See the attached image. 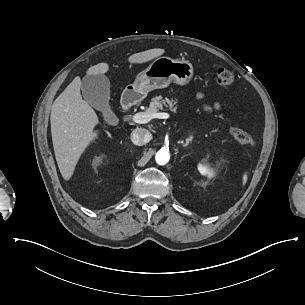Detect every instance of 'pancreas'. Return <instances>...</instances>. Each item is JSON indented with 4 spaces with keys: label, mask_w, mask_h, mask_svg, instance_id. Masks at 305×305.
I'll return each mask as SVG.
<instances>
[{
    "label": "pancreas",
    "mask_w": 305,
    "mask_h": 305,
    "mask_svg": "<svg viewBox=\"0 0 305 305\" xmlns=\"http://www.w3.org/2000/svg\"><path fill=\"white\" fill-rule=\"evenodd\" d=\"M179 101L175 100L174 98H167L165 97L163 99V97L161 95L157 96L155 101L151 102L150 104V110H149V114L150 115H154L157 113H160L161 110H171L172 112L178 113L180 111L179 109V105H178Z\"/></svg>",
    "instance_id": "1"
}]
</instances>
